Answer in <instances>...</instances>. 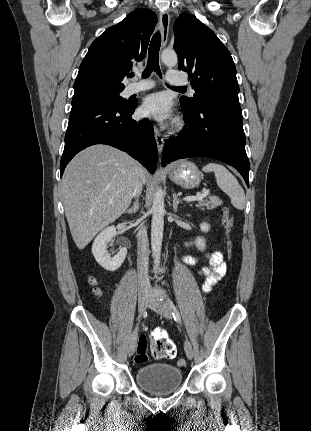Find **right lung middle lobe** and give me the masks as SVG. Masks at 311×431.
<instances>
[{
  "mask_svg": "<svg viewBox=\"0 0 311 431\" xmlns=\"http://www.w3.org/2000/svg\"><path fill=\"white\" fill-rule=\"evenodd\" d=\"M118 92H86L81 94H74L72 99V108L85 105L102 103L112 106L129 107L134 102L127 101L119 95Z\"/></svg>",
  "mask_w": 311,
  "mask_h": 431,
  "instance_id": "dd1d6c3e",
  "label": "right lung middle lobe"
}]
</instances>
